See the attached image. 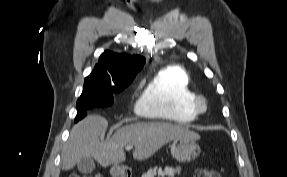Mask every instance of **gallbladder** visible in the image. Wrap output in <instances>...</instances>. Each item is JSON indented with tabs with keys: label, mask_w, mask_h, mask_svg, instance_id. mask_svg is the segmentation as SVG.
I'll return each instance as SVG.
<instances>
[{
	"label": "gallbladder",
	"mask_w": 287,
	"mask_h": 177,
	"mask_svg": "<svg viewBox=\"0 0 287 177\" xmlns=\"http://www.w3.org/2000/svg\"><path fill=\"white\" fill-rule=\"evenodd\" d=\"M77 168L80 173L90 174L95 168V163L92 157H83L77 162Z\"/></svg>",
	"instance_id": "bac80fb5"
}]
</instances>
